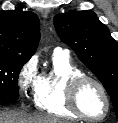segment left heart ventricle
Instances as JSON below:
<instances>
[{
  "label": "left heart ventricle",
  "mask_w": 118,
  "mask_h": 123,
  "mask_svg": "<svg viewBox=\"0 0 118 123\" xmlns=\"http://www.w3.org/2000/svg\"><path fill=\"white\" fill-rule=\"evenodd\" d=\"M78 101L82 111L89 116H101L106 110L105 99L101 91L91 82H87L81 87Z\"/></svg>",
  "instance_id": "left-heart-ventricle-1"
}]
</instances>
